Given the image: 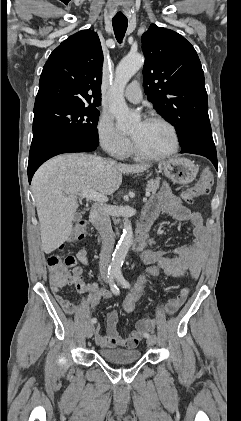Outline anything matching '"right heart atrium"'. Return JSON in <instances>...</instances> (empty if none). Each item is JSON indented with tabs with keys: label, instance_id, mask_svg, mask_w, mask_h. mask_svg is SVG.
Segmentation results:
<instances>
[{
	"label": "right heart atrium",
	"instance_id": "obj_1",
	"mask_svg": "<svg viewBox=\"0 0 241 421\" xmlns=\"http://www.w3.org/2000/svg\"><path fill=\"white\" fill-rule=\"evenodd\" d=\"M97 136L101 146L115 157L124 156L130 145L127 136L117 129L106 113L101 114L97 122Z\"/></svg>",
	"mask_w": 241,
	"mask_h": 421
}]
</instances>
